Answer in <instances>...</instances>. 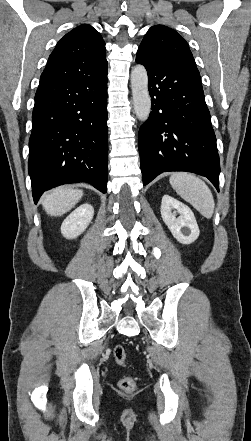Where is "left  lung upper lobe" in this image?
Instances as JSON below:
<instances>
[{
	"label": "left lung upper lobe",
	"instance_id": "1",
	"mask_svg": "<svg viewBox=\"0 0 251 441\" xmlns=\"http://www.w3.org/2000/svg\"><path fill=\"white\" fill-rule=\"evenodd\" d=\"M137 54L155 62L174 64L199 73L188 43L167 26L151 27L145 34Z\"/></svg>",
	"mask_w": 251,
	"mask_h": 441
}]
</instances>
